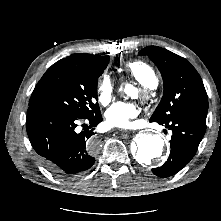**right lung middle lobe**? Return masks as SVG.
I'll return each mask as SVG.
<instances>
[{"mask_svg": "<svg viewBox=\"0 0 221 221\" xmlns=\"http://www.w3.org/2000/svg\"><path fill=\"white\" fill-rule=\"evenodd\" d=\"M108 62L109 56L91 64L65 58L57 61L37 83L29 106L54 108L80 118L100 114L97 81Z\"/></svg>", "mask_w": 221, "mask_h": 221, "instance_id": "right-lung-middle-lobe-1", "label": "right lung middle lobe"}]
</instances>
